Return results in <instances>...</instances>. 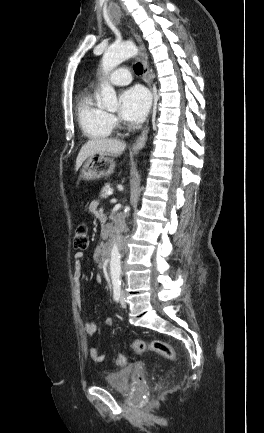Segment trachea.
I'll use <instances>...</instances> for the list:
<instances>
[{"label":"trachea","mask_w":264,"mask_h":433,"mask_svg":"<svg viewBox=\"0 0 264 433\" xmlns=\"http://www.w3.org/2000/svg\"><path fill=\"white\" fill-rule=\"evenodd\" d=\"M134 71H135L136 74L141 75L142 72H143L142 66L139 63H137L134 66Z\"/></svg>","instance_id":"3493384b"}]
</instances>
